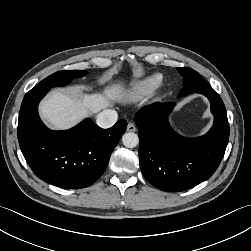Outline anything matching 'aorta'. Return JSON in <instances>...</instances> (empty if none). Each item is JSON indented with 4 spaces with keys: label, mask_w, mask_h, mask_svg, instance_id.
Returning <instances> with one entry per match:
<instances>
[{
    "label": "aorta",
    "mask_w": 251,
    "mask_h": 251,
    "mask_svg": "<svg viewBox=\"0 0 251 251\" xmlns=\"http://www.w3.org/2000/svg\"><path fill=\"white\" fill-rule=\"evenodd\" d=\"M123 145L127 148H134L139 143L138 135L133 132H127L122 136Z\"/></svg>",
    "instance_id": "762f6f07"
}]
</instances>
